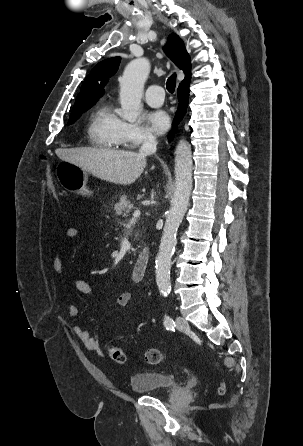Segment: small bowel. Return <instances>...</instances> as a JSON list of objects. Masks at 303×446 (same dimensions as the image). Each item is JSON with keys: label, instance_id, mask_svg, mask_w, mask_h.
Wrapping results in <instances>:
<instances>
[{"label": "small bowel", "instance_id": "small-bowel-1", "mask_svg": "<svg viewBox=\"0 0 303 446\" xmlns=\"http://www.w3.org/2000/svg\"><path fill=\"white\" fill-rule=\"evenodd\" d=\"M80 231L76 227H69L66 230V236L70 239H75L79 237ZM53 270L59 276L62 277L64 273V266L61 256L57 254L53 259ZM75 288L78 292L88 295V296H96V291L93 286L82 279H78L74 283ZM132 298V293L130 291H126L121 293L116 299V306L118 308H124L130 302ZM68 313L70 317H77L79 315L78 307L74 304H70L68 306ZM73 331L75 335L80 339V341L84 344L85 348L90 352H95L98 354L101 353L99 341L91 336V334L85 330L80 325H75L73 327Z\"/></svg>", "mask_w": 303, "mask_h": 446}]
</instances>
